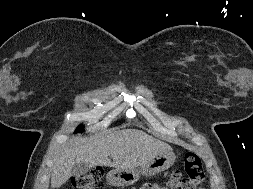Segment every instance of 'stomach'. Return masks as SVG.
Segmentation results:
<instances>
[{"label":"stomach","mask_w":253,"mask_h":189,"mask_svg":"<svg viewBox=\"0 0 253 189\" xmlns=\"http://www.w3.org/2000/svg\"><path fill=\"white\" fill-rule=\"evenodd\" d=\"M176 160L175 154L171 152L160 153L151 160L142 164L139 169L112 170L107 174V181L114 186H130L135 184L140 175L153 176L170 168Z\"/></svg>","instance_id":"stomach-1"}]
</instances>
